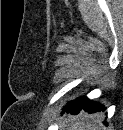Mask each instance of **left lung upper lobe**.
I'll return each instance as SVG.
<instances>
[{"label":"left lung upper lobe","instance_id":"obj_1","mask_svg":"<svg viewBox=\"0 0 123 130\" xmlns=\"http://www.w3.org/2000/svg\"><path fill=\"white\" fill-rule=\"evenodd\" d=\"M81 101V97H78L77 99L71 101L70 103H68L65 108H74L76 106H78V104L80 103Z\"/></svg>","mask_w":123,"mask_h":130}]
</instances>
